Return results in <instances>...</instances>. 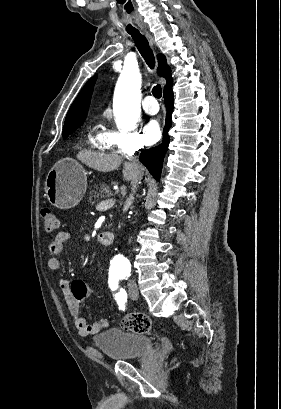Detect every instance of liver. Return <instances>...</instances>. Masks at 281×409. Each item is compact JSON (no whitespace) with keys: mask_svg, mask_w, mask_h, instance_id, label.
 Instances as JSON below:
<instances>
[{"mask_svg":"<svg viewBox=\"0 0 281 409\" xmlns=\"http://www.w3.org/2000/svg\"><path fill=\"white\" fill-rule=\"evenodd\" d=\"M77 158L84 162V164H87V166H90V168L101 170V172L115 170V168L120 166L122 160V156H119V154H105V152H98V150H80ZM122 174L125 180H131L135 174L133 162H123Z\"/></svg>","mask_w":281,"mask_h":409,"instance_id":"liver-1","label":"liver"}]
</instances>
